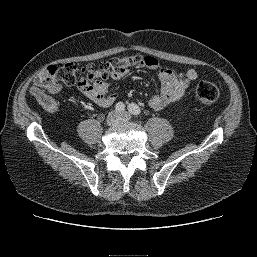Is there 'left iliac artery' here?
<instances>
[{
	"label": "left iliac artery",
	"instance_id": "44dca946",
	"mask_svg": "<svg viewBox=\"0 0 257 257\" xmlns=\"http://www.w3.org/2000/svg\"><path fill=\"white\" fill-rule=\"evenodd\" d=\"M128 110L133 115H139L141 113V109L139 108V106L134 103L129 104Z\"/></svg>",
	"mask_w": 257,
	"mask_h": 257
}]
</instances>
